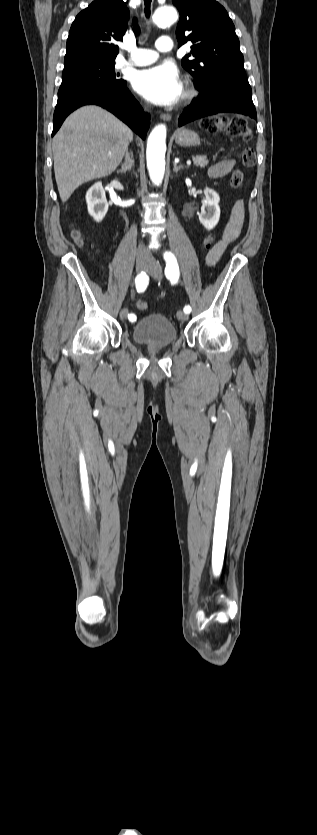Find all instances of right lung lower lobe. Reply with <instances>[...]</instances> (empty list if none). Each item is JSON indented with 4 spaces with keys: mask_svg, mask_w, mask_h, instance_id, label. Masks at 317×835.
I'll return each mask as SVG.
<instances>
[{
    "mask_svg": "<svg viewBox=\"0 0 317 835\" xmlns=\"http://www.w3.org/2000/svg\"><path fill=\"white\" fill-rule=\"evenodd\" d=\"M87 104H96L112 112L145 139L150 125L149 115L145 114L126 85L107 84L88 86L59 95L54 112L52 136L71 112Z\"/></svg>",
    "mask_w": 317,
    "mask_h": 835,
    "instance_id": "obj_1",
    "label": "right lung lower lobe"
}]
</instances>
